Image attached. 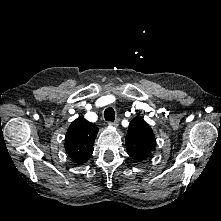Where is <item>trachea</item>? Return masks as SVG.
<instances>
[{"label":"trachea","mask_w":221,"mask_h":221,"mask_svg":"<svg viewBox=\"0 0 221 221\" xmlns=\"http://www.w3.org/2000/svg\"><path fill=\"white\" fill-rule=\"evenodd\" d=\"M104 117L106 121H114L115 120V111L113 108H107L104 112Z\"/></svg>","instance_id":"3493384b"}]
</instances>
